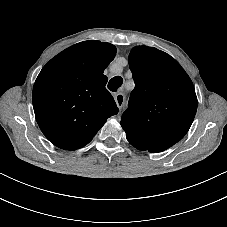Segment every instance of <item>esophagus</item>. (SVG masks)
I'll list each match as a JSON object with an SVG mask.
<instances>
[{
  "mask_svg": "<svg viewBox=\"0 0 227 227\" xmlns=\"http://www.w3.org/2000/svg\"><path fill=\"white\" fill-rule=\"evenodd\" d=\"M115 102L119 109H122L125 103V95L123 93H117L114 97Z\"/></svg>",
  "mask_w": 227,
  "mask_h": 227,
  "instance_id": "1",
  "label": "esophagus"
}]
</instances>
